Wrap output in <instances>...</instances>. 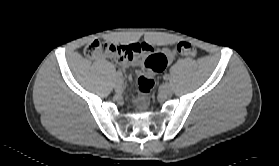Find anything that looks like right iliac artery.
Here are the masks:
<instances>
[{
	"label": "right iliac artery",
	"mask_w": 279,
	"mask_h": 166,
	"mask_svg": "<svg viewBox=\"0 0 279 166\" xmlns=\"http://www.w3.org/2000/svg\"><path fill=\"white\" fill-rule=\"evenodd\" d=\"M116 76H117L118 79H121L122 78V72L118 71L116 73Z\"/></svg>",
	"instance_id": "82829eb1"
}]
</instances>
